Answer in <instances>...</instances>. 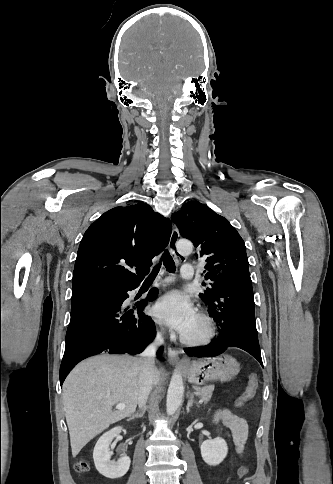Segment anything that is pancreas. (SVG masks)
Masks as SVG:
<instances>
[{"mask_svg":"<svg viewBox=\"0 0 333 484\" xmlns=\"http://www.w3.org/2000/svg\"><path fill=\"white\" fill-rule=\"evenodd\" d=\"M195 389V395L201 398L204 402H208L211 397L212 393L214 390V385H207L204 387H194Z\"/></svg>","mask_w":333,"mask_h":484,"instance_id":"cf45deb5","label":"pancreas"}]
</instances>
